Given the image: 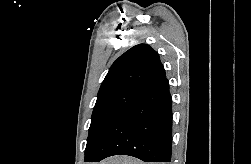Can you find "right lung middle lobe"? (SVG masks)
Returning <instances> with one entry per match:
<instances>
[{"instance_id":"1","label":"right lung middle lobe","mask_w":251,"mask_h":164,"mask_svg":"<svg viewBox=\"0 0 251 164\" xmlns=\"http://www.w3.org/2000/svg\"><path fill=\"white\" fill-rule=\"evenodd\" d=\"M140 94V89L125 87L98 96L91 117L85 160L91 155L113 122Z\"/></svg>"}]
</instances>
